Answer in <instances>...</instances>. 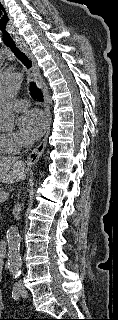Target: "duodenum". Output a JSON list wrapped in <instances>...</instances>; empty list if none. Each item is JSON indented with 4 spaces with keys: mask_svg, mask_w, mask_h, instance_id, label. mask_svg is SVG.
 <instances>
[{
    "mask_svg": "<svg viewBox=\"0 0 118 320\" xmlns=\"http://www.w3.org/2000/svg\"><path fill=\"white\" fill-rule=\"evenodd\" d=\"M7 252V242L0 240V264L3 265Z\"/></svg>",
    "mask_w": 118,
    "mask_h": 320,
    "instance_id": "1",
    "label": "duodenum"
}]
</instances>
